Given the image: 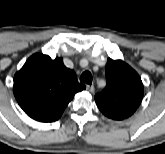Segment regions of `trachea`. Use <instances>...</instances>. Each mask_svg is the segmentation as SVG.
<instances>
[{"instance_id":"trachea-1","label":"trachea","mask_w":165,"mask_h":154,"mask_svg":"<svg viewBox=\"0 0 165 154\" xmlns=\"http://www.w3.org/2000/svg\"><path fill=\"white\" fill-rule=\"evenodd\" d=\"M80 81L91 85L92 84V74L89 71L83 72L80 76Z\"/></svg>"}]
</instances>
